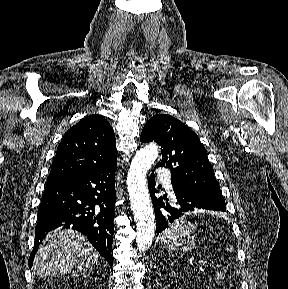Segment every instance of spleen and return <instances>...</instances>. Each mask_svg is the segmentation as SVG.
<instances>
[{
  "mask_svg": "<svg viewBox=\"0 0 288 289\" xmlns=\"http://www.w3.org/2000/svg\"><path fill=\"white\" fill-rule=\"evenodd\" d=\"M195 223H187L185 219H179L173 224L169 225L168 228L161 234V242L169 244L177 239L190 234L193 229L196 228Z\"/></svg>",
  "mask_w": 288,
  "mask_h": 289,
  "instance_id": "spleen-1",
  "label": "spleen"
}]
</instances>
